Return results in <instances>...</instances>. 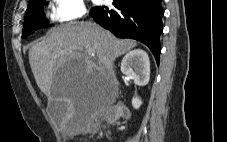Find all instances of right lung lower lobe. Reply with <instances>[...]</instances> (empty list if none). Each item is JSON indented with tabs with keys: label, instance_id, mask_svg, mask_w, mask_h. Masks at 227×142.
<instances>
[{
	"label": "right lung lower lobe",
	"instance_id": "obj_1",
	"mask_svg": "<svg viewBox=\"0 0 227 142\" xmlns=\"http://www.w3.org/2000/svg\"><path fill=\"white\" fill-rule=\"evenodd\" d=\"M114 9L94 7V20L117 37L132 38L146 44L157 63L160 56V34L164 11L161 0H113Z\"/></svg>",
	"mask_w": 227,
	"mask_h": 142
}]
</instances>
